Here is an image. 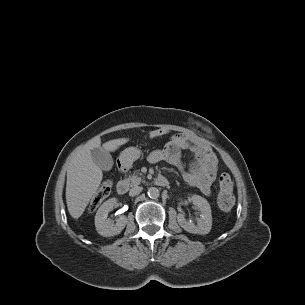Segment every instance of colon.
Wrapping results in <instances>:
<instances>
[{"label": "colon", "instance_id": "obj_1", "mask_svg": "<svg viewBox=\"0 0 305 305\" xmlns=\"http://www.w3.org/2000/svg\"><path fill=\"white\" fill-rule=\"evenodd\" d=\"M167 133L164 128L155 129L150 132V138H158ZM219 193L217 197L218 208L225 213L230 212L235 204V199L232 193V179L229 174L223 173L220 175L219 180ZM112 188V181L105 180L98 190L95 192L89 204V210L94 211L102 201H104L110 194Z\"/></svg>", "mask_w": 305, "mask_h": 305}]
</instances>
